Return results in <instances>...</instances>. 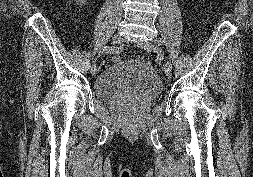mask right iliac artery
<instances>
[{"instance_id": "right-iliac-artery-1", "label": "right iliac artery", "mask_w": 253, "mask_h": 177, "mask_svg": "<svg viewBox=\"0 0 253 177\" xmlns=\"http://www.w3.org/2000/svg\"><path fill=\"white\" fill-rule=\"evenodd\" d=\"M120 49H121L120 47L105 46V47H103V48L100 50V53H101V54H103V53H110V54H113V53H118ZM98 57H99V51H96V53H92V54H91V60L93 61V63L90 64V67H91L92 69H95V68L97 67Z\"/></svg>"}]
</instances>
